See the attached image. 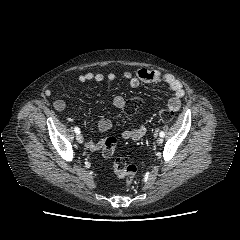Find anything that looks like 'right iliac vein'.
<instances>
[{"label": "right iliac vein", "mask_w": 240, "mask_h": 240, "mask_svg": "<svg viewBox=\"0 0 240 240\" xmlns=\"http://www.w3.org/2000/svg\"><path fill=\"white\" fill-rule=\"evenodd\" d=\"M76 140H77V142H79V143H83V136L79 133V134H77L76 135Z\"/></svg>", "instance_id": "obj_1"}]
</instances>
